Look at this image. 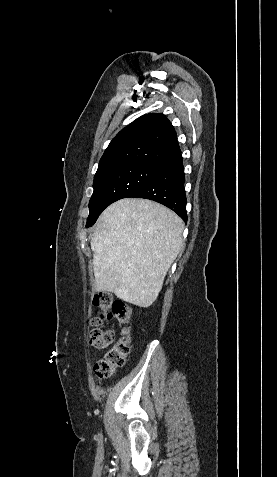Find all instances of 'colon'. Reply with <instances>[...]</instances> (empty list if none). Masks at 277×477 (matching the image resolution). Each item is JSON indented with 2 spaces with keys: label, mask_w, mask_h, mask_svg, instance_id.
<instances>
[{
  "label": "colon",
  "mask_w": 277,
  "mask_h": 477,
  "mask_svg": "<svg viewBox=\"0 0 277 477\" xmlns=\"http://www.w3.org/2000/svg\"><path fill=\"white\" fill-rule=\"evenodd\" d=\"M93 305L100 309V314L92 319L89 334L90 344L98 349L108 348L114 341L111 330L103 329L106 319H115L123 325L121 338L106 353L105 357L94 365L97 380L111 377L118 367H121L130 351V330L128 327L131 310L122 300L114 298L110 293L100 292L93 298Z\"/></svg>",
  "instance_id": "1"
}]
</instances>
